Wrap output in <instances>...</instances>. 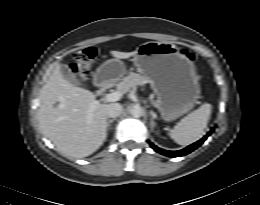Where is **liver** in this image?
I'll return each instance as SVG.
<instances>
[{
	"label": "liver",
	"instance_id": "6515ba94",
	"mask_svg": "<svg viewBox=\"0 0 260 205\" xmlns=\"http://www.w3.org/2000/svg\"><path fill=\"white\" fill-rule=\"evenodd\" d=\"M134 52L111 51L117 59H127ZM95 95L67 81L57 64L40 92L38 111L42 133L66 156L91 155L107 137V106L99 103L92 111Z\"/></svg>",
	"mask_w": 260,
	"mask_h": 205
}]
</instances>
